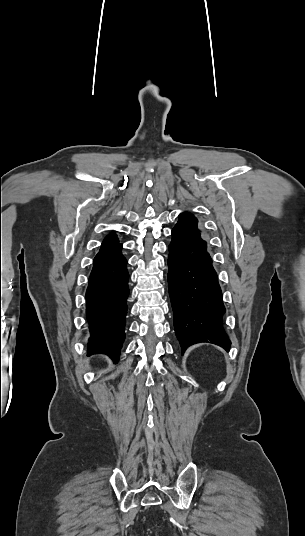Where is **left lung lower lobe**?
<instances>
[{"label":"left lung lower lobe","instance_id":"1","mask_svg":"<svg viewBox=\"0 0 305 536\" xmlns=\"http://www.w3.org/2000/svg\"><path fill=\"white\" fill-rule=\"evenodd\" d=\"M204 240L173 228L169 245L168 287L174 327L182 353L196 343H213L229 350L223 327V296Z\"/></svg>","mask_w":305,"mask_h":536}]
</instances>
